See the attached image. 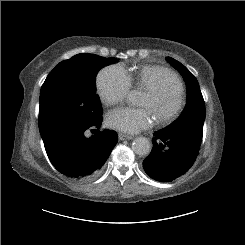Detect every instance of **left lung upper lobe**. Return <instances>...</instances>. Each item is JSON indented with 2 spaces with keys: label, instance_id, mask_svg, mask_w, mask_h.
<instances>
[{
  "label": "left lung upper lobe",
  "instance_id": "obj_1",
  "mask_svg": "<svg viewBox=\"0 0 245 245\" xmlns=\"http://www.w3.org/2000/svg\"><path fill=\"white\" fill-rule=\"evenodd\" d=\"M167 61L182 75L187 87V104L181 115L168 127L165 134L189 138L201 145L205 119V103L195 76L180 62L171 57Z\"/></svg>",
  "mask_w": 245,
  "mask_h": 245
}]
</instances>
